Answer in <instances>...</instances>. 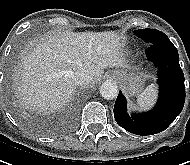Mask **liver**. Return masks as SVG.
<instances>
[{"instance_id":"6515ba94","label":"liver","mask_w":190,"mask_h":165,"mask_svg":"<svg viewBox=\"0 0 190 165\" xmlns=\"http://www.w3.org/2000/svg\"><path fill=\"white\" fill-rule=\"evenodd\" d=\"M123 45L115 31L56 32L34 41L15 74L21 103L38 111L64 108L77 86L75 72L85 70L96 81L107 67L128 68Z\"/></svg>"}]
</instances>
